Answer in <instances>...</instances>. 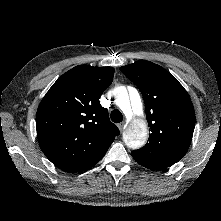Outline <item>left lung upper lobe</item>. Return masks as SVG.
I'll use <instances>...</instances> for the list:
<instances>
[{
    "instance_id": "left-lung-upper-lobe-1",
    "label": "left lung upper lobe",
    "mask_w": 221,
    "mask_h": 221,
    "mask_svg": "<svg viewBox=\"0 0 221 221\" xmlns=\"http://www.w3.org/2000/svg\"><path fill=\"white\" fill-rule=\"evenodd\" d=\"M120 70L141 91L151 131L148 143L131 154L173 165L186 154L194 132L195 112L189 94L174 76L152 62L139 60Z\"/></svg>"
}]
</instances>
